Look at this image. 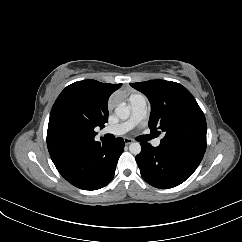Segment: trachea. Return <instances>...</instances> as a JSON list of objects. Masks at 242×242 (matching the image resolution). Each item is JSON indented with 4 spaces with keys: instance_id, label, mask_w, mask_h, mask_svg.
I'll list each match as a JSON object with an SVG mask.
<instances>
[{
    "instance_id": "1",
    "label": "trachea",
    "mask_w": 242,
    "mask_h": 242,
    "mask_svg": "<svg viewBox=\"0 0 242 242\" xmlns=\"http://www.w3.org/2000/svg\"><path fill=\"white\" fill-rule=\"evenodd\" d=\"M153 136H149L148 139H151Z\"/></svg>"
}]
</instances>
